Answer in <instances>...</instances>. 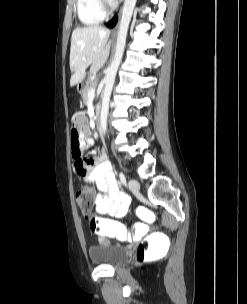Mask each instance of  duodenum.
<instances>
[{
	"label": "duodenum",
	"mask_w": 247,
	"mask_h": 304,
	"mask_svg": "<svg viewBox=\"0 0 247 304\" xmlns=\"http://www.w3.org/2000/svg\"><path fill=\"white\" fill-rule=\"evenodd\" d=\"M89 80L87 78L83 79V81H80V86H85V83H87ZM101 120V112L100 110H97L95 113V121L96 123H100ZM97 129H100V126H97Z\"/></svg>",
	"instance_id": "obj_1"
}]
</instances>
